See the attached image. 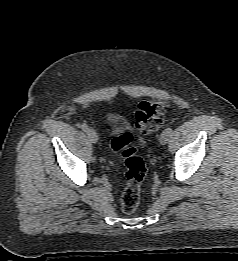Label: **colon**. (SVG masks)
Segmentation results:
<instances>
[{
  "label": "colon",
  "instance_id": "5ec220e1",
  "mask_svg": "<svg viewBox=\"0 0 238 261\" xmlns=\"http://www.w3.org/2000/svg\"><path fill=\"white\" fill-rule=\"evenodd\" d=\"M168 110V103L147 100L139 104L135 114V126L143 133L156 131ZM111 147L121 153L124 159L125 186L121 195V210L125 214L133 213L139 205L140 189L146 175V165L132 145V135L124 133L111 141Z\"/></svg>",
  "mask_w": 238,
  "mask_h": 261
}]
</instances>
